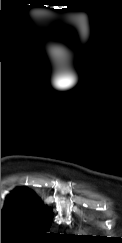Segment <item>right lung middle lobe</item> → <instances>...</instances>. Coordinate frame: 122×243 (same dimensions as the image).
Segmentation results:
<instances>
[{
	"mask_svg": "<svg viewBox=\"0 0 122 243\" xmlns=\"http://www.w3.org/2000/svg\"><path fill=\"white\" fill-rule=\"evenodd\" d=\"M1 216V233L33 239L45 238L51 224V215L44 209L16 201H6Z\"/></svg>",
	"mask_w": 122,
	"mask_h": 243,
	"instance_id": "right-lung-middle-lobe-1",
	"label": "right lung middle lobe"
}]
</instances>
